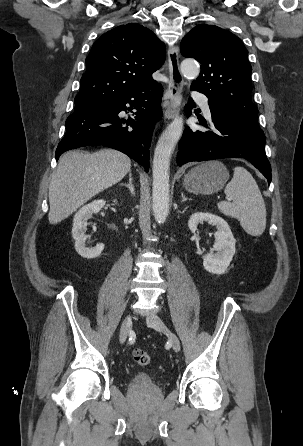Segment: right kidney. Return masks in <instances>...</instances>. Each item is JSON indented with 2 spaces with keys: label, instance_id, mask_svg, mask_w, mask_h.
<instances>
[{
  "label": "right kidney",
  "instance_id": "right-kidney-1",
  "mask_svg": "<svg viewBox=\"0 0 303 446\" xmlns=\"http://www.w3.org/2000/svg\"><path fill=\"white\" fill-rule=\"evenodd\" d=\"M104 205V200H95L80 208L74 216L72 237L75 240V249L77 253L83 258H96L100 256L101 252L104 249L103 243H99L95 247H87L85 235L88 225V219H90L93 214L98 213Z\"/></svg>",
  "mask_w": 303,
  "mask_h": 446
}]
</instances>
